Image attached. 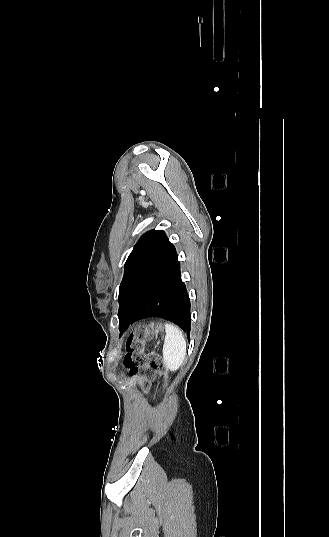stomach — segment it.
Returning a JSON list of instances; mask_svg holds the SVG:
<instances>
[{"instance_id":"stomach-1","label":"stomach","mask_w":329,"mask_h":537,"mask_svg":"<svg viewBox=\"0 0 329 537\" xmlns=\"http://www.w3.org/2000/svg\"><path fill=\"white\" fill-rule=\"evenodd\" d=\"M166 325L162 322H156L152 324L153 332L155 333H162L165 329Z\"/></svg>"}]
</instances>
